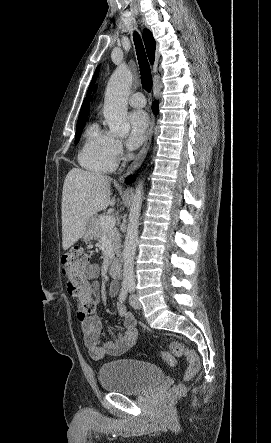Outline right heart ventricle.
Instances as JSON below:
<instances>
[{
  "instance_id": "e07e8e85",
  "label": "right heart ventricle",
  "mask_w": 271,
  "mask_h": 443,
  "mask_svg": "<svg viewBox=\"0 0 271 443\" xmlns=\"http://www.w3.org/2000/svg\"><path fill=\"white\" fill-rule=\"evenodd\" d=\"M113 136L100 129L97 122L88 126L84 141L78 153L79 163L94 172L108 173L116 167V158L111 152Z\"/></svg>"
}]
</instances>
